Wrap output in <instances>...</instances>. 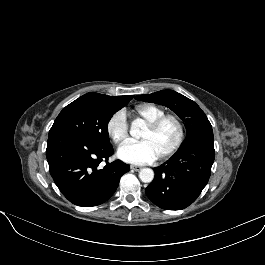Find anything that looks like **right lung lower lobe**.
I'll return each instance as SVG.
<instances>
[{
	"label": "right lung lower lobe",
	"mask_w": 265,
	"mask_h": 265,
	"mask_svg": "<svg viewBox=\"0 0 265 265\" xmlns=\"http://www.w3.org/2000/svg\"><path fill=\"white\" fill-rule=\"evenodd\" d=\"M114 150L74 133L48 137L46 157L50 174L61 193L78 206H97L116 191L120 178L130 166L120 160L102 167Z\"/></svg>",
	"instance_id": "right-lung-lower-lobe-1"
}]
</instances>
